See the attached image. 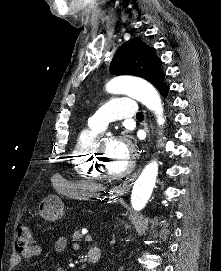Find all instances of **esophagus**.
<instances>
[{
    "instance_id": "1",
    "label": "esophagus",
    "mask_w": 221,
    "mask_h": 271,
    "mask_svg": "<svg viewBox=\"0 0 221 271\" xmlns=\"http://www.w3.org/2000/svg\"><path fill=\"white\" fill-rule=\"evenodd\" d=\"M144 129L147 132V134L149 135V130H148L146 123L144 124ZM139 171L140 170L133 173V175L127 181H124L122 183V186L115 188L114 191L118 192V193H124V192L128 191L130 189V187L132 186V183L135 181Z\"/></svg>"
}]
</instances>
